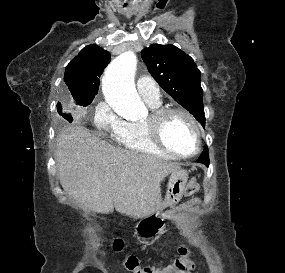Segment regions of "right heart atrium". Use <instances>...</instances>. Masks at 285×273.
I'll return each instance as SVG.
<instances>
[{
    "label": "right heart atrium",
    "mask_w": 285,
    "mask_h": 273,
    "mask_svg": "<svg viewBox=\"0 0 285 273\" xmlns=\"http://www.w3.org/2000/svg\"><path fill=\"white\" fill-rule=\"evenodd\" d=\"M93 120L96 129L110 134L115 139L127 123L105 100L98 102L96 105Z\"/></svg>",
    "instance_id": "right-heart-atrium-1"
}]
</instances>
